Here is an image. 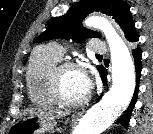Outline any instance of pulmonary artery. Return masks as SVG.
I'll return each mask as SVG.
<instances>
[{"label": "pulmonary artery", "instance_id": "pulmonary-artery-1", "mask_svg": "<svg viewBox=\"0 0 153 134\" xmlns=\"http://www.w3.org/2000/svg\"><path fill=\"white\" fill-rule=\"evenodd\" d=\"M51 48L61 57L63 55V48L58 45V44H52ZM91 49L94 53H97V54H103L107 51V47L106 45L98 40V39H95L91 42Z\"/></svg>", "mask_w": 153, "mask_h": 134}]
</instances>
